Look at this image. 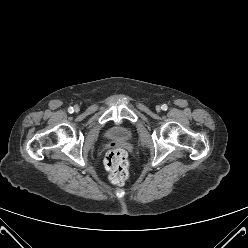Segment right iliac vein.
<instances>
[{
    "instance_id": "1",
    "label": "right iliac vein",
    "mask_w": 248,
    "mask_h": 248,
    "mask_svg": "<svg viewBox=\"0 0 248 248\" xmlns=\"http://www.w3.org/2000/svg\"><path fill=\"white\" fill-rule=\"evenodd\" d=\"M75 111H76V112L78 111V107H77V106L75 107Z\"/></svg>"
}]
</instances>
